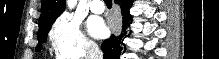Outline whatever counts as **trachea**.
<instances>
[{
	"mask_svg": "<svg viewBox=\"0 0 219 59\" xmlns=\"http://www.w3.org/2000/svg\"><path fill=\"white\" fill-rule=\"evenodd\" d=\"M107 7L111 8L112 6V0H104Z\"/></svg>",
	"mask_w": 219,
	"mask_h": 59,
	"instance_id": "3493384b",
	"label": "trachea"
}]
</instances>
